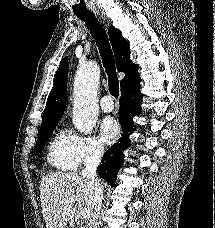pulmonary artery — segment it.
Returning a JSON list of instances; mask_svg holds the SVG:
<instances>
[{"mask_svg":"<svg viewBox=\"0 0 215 228\" xmlns=\"http://www.w3.org/2000/svg\"><path fill=\"white\" fill-rule=\"evenodd\" d=\"M100 106L105 112L112 111L114 109V102L112 100V97L110 95L104 96L100 102Z\"/></svg>","mask_w":215,"mask_h":228,"instance_id":"1","label":"pulmonary artery"}]
</instances>
